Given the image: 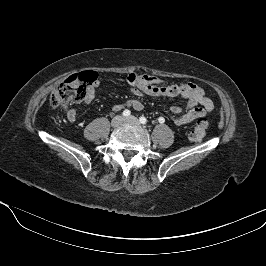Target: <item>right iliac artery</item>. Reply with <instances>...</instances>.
Masks as SVG:
<instances>
[{"instance_id": "1", "label": "right iliac artery", "mask_w": 266, "mask_h": 266, "mask_svg": "<svg viewBox=\"0 0 266 266\" xmlns=\"http://www.w3.org/2000/svg\"><path fill=\"white\" fill-rule=\"evenodd\" d=\"M122 114H123V116L128 117V116H130L131 112H130V110L126 109V110L123 111Z\"/></svg>"}]
</instances>
